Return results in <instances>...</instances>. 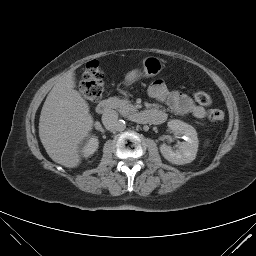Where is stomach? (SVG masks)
Wrapping results in <instances>:
<instances>
[{"label": "stomach", "mask_w": 256, "mask_h": 256, "mask_svg": "<svg viewBox=\"0 0 256 256\" xmlns=\"http://www.w3.org/2000/svg\"><path fill=\"white\" fill-rule=\"evenodd\" d=\"M163 68L162 62L158 57L150 56L143 60V72L133 70L125 77V84L130 85L141 77H151L159 74Z\"/></svg>", "instance_id": "0dacf381"}]
</instances>
